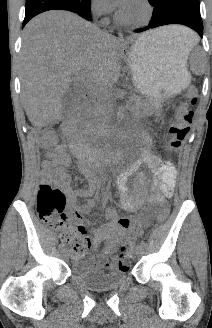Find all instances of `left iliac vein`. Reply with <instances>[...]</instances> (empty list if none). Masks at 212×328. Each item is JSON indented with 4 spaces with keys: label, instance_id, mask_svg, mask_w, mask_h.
Wrapping results in <instances>:
<instances>
[{
    "label": "left iliac vein",
    "instance_id": "4c4485c4",
    "mask_svg": "<svg viewBox=\"0 0 212 328\" xmlns=\"http://www.w3.org/2000/svg\"><path fill=\"white\" fill-rule=\"evenodd\" d=\"M143 251H144L143 246L138 245L135 249L136 256L140 257L143 254Z\"/></svg>",
    "mask_w": 212,
    "mask_h": 328
}]
</instances>
